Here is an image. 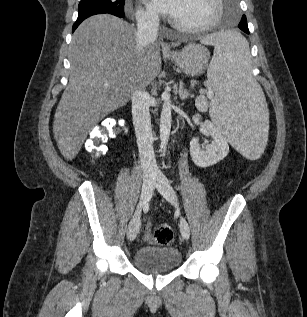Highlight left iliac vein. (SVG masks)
<instances>
[{"mask_svg":"<svg viewBox=\"0 0 307 317\" xmlns=\"http://www.w3.org/2000/svg\"><path fill=\"white\" fill-rule=\"evenodd\" d=\"M156 188L162 194V196L172 205L177 206V198L173 187L171 186L168 179L162 174L159 173L156 177ZM180 231L181 235L185 240H188L190 237V228L189 224L185 218L180 219Z\"/></svg>","mask_w":307,"mask_h":317,"instance_id":"1","label":"left iliac vein"}]
</instances>
